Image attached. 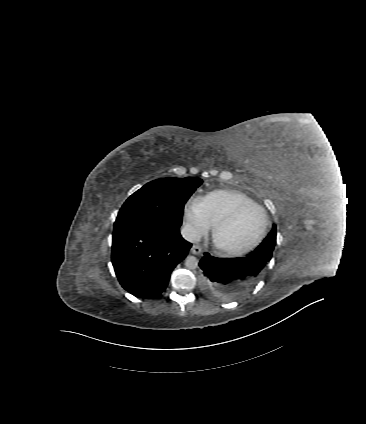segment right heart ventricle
Masks as SVG:
<instances>
[{"instance_id": "1", "label": "right heart ventricle", "mask_w": 366, "mask_h": 424, "mask_svg": "<svg viewBox=\"0 0 366 424\" xmlns=\"http://www.w3.org/2000/svg\"><path fill=\"white\" fill-rule=\"evenodd\" d=\"M202 200L205 214L211 225H214L241 204L256 203L247 194L232 189L214 190L209 192Z\"/></svg>"}]
</instances>
